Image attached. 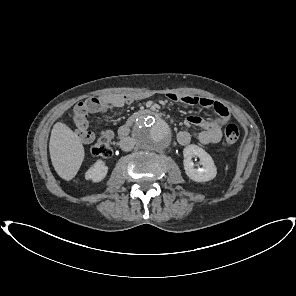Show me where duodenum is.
Here are the masks:
<instances>
[{"mask_svg":"<svg viewBox=\"0 0 296 296\" xmlns=\"http://www.w3.org/2000/svg\"><path fill=\"white\" fill-rule=\"evenodd\" d=\"M148 115H153L157 118H159L161 116L158 112H156L152 109H148V108L141 109V110H138L137 112H135L130 117V119L127 121V123L124 124L122 127H120V129L118 131V137L120 139L121 144H124L125 141L127 140L130 129L133 126V124L135 123V121L142 116H148Z\"/></svg>","mask_w":296,"mask_h":296,"instance_id":"duodenum-1","label":"duodenum"}]
</instances>
